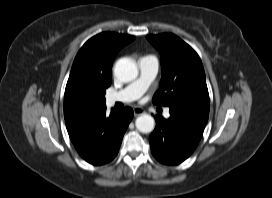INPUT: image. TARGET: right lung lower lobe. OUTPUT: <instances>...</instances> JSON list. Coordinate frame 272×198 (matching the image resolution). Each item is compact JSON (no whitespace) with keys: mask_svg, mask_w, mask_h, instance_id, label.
Segmentation results:
<instances>
[{"mask_svg":"<svg viewBox=\"0 0 272 198\" xmlns=\"http://www.w3.org/2000/svg\"><path fill=\"white\" fill-rule=\"evenodd\" d=\"M132 118L130 107L114 110L109 116L104 107L67 130L80 156L90 164L102 165L117 155Z\"/></svg>","mask_w":272,"mask_h":198,"instance_id":"right-lung-lower-lobe-1","label":"right lung lower lobe"}]
</instances>
